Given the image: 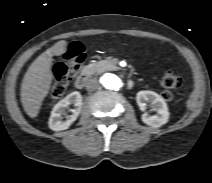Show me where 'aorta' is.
Returning a JSON list of instances; mask_svg holds the SVG:
<instances>
[{"label": "aorta", "instance_id": "aorta-1", "mask_svg": "<svg viewBox=\"0 0 212 183\" xmlns=\"http://www.w3.org/2000/svg\"><path fill=\"white\" fill-rule=\"evenodd\" d=\"M102 86L108 91H119L123 87L122 79L111 73H106L100 78Z\"/></svg>", "mask_w": 212, "mask_h": 183}]
</instances>
